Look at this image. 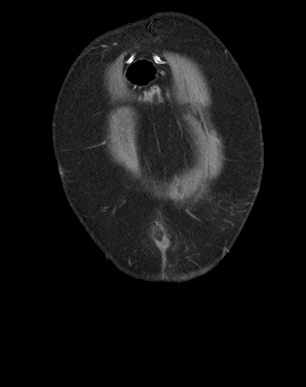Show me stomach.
<instances>
[{
  "label": "stomach",
  "instance_id": "obj_1",
  "mask_svg": "<svg viewBox=\"0 0 306 387\" xmlns=\"http://www.w3.org/2000/svg\"><path fill=\"white\" fill-rule=\"evenodd\" d=\"M133 66H125L124 72L129 77V82H132L133 87H142L143 82H158V75H150V73H158V66H151V61H133Z\"/></svg>",
  "mask_w": 306,
  "mask_h": 387
}]
</instances>
